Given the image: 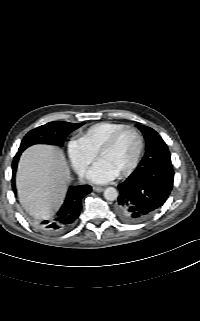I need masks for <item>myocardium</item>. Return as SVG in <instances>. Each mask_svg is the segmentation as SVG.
Instances as JSON below:
<instances>
[{"label":"myocardium","mask_w":200,"mask_h":321,"mask_svg":"<svg viewBox=\"0 0 200 321\" xmlns=\"http://www.w3.org/2000/svg\"><path fill=\"white\" fill-rule=\"evenodd\" d=\"M126 132H133L137 139H138V148H137V152L136 155L132 161V163L120 174H118L119 177H126L128 175H130L135 168L138 166L142 153H143V149H144V139L143 136L141 134V132L132 126H126L122 129H120L119 131H117L116 133H114L98 150L97 152V156L98 158H100L101 154L109 149H111L112 147L115 146V144L118 142V140L122 137V135H124Z\"/></svg>","instance_id":"f54148a6"}]
</instances>
